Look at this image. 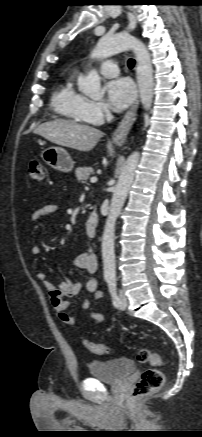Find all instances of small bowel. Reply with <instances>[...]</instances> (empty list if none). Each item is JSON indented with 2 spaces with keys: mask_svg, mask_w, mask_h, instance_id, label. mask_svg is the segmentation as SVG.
<instances>
[{
  "mask_svg": "<svg viewBox=\"0 0 202 437\" xmlns=\"http://www.w3.org/2000/svg\"><path fill=\"white\" fill-rule=\"evenodd\" d=\"M56 203H50L42 206L34 211L30 217V222L34 223L41 218L48 216L58 210ZM33 255L40 254V248L37 245H33L31 248ZM73 267L86 272L87 277L83 282H73L67 277H64L61 281L53 284L46 279V275L42 271H35L34 277L42 282L45 289L48 291L51 305L56 312L58 318L67 325L74 323L73 318L70 316V302L68 298L79 295L83 290L89 294H93L94 298L91 301L89 298H85L82 302V309L90 311V317L94 324H100L104 321V315L96 310L99 302L104 298L102 291L97 289L98 282L95 277V273L98 269V260L96 255L92 251H86L80 253L75 257L72 262Z\"/></svg>",
  "mask_w": 202,
  "mask_h": 437,
  "instance_id": "1",
  "label": "small bowel"
}]
</instances>
